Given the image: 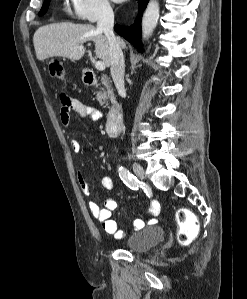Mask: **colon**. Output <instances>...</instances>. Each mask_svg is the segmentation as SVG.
Instances as JSON below:
<instances>
[{
  "label": "colon",
  "mask_w": 247,
  "mask_h": 299,
  "mask_svg": "<svg viewBox=\"0 0 247 299\" xmlns=\"http://www.w3.org/2000/svg\"><path fill=\"white\" fill-rule=\"evenodd\" d=\"M48 68L51 76L64 79L65 69L58 60H50ZM176 221L179 226L177 235L178 241L181 244H188L198 232V221L196 217L187 209H179L176 212Z\"/></svg>",
  "instance_id": "5ec220e1"
}]
</instances>
